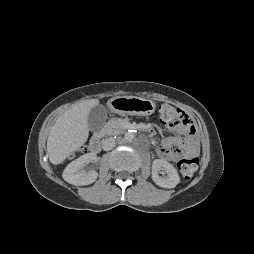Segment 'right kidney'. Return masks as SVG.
<instances>
[{"instance_id": "1", "label": "right kidney", "mask_w": 254, "mask_h": 254, "mask_svg": "<svg viewBox=\"0 0 254 254\" xmlns=\"http://www.w3.org/2000/svg\"><path fill=\"white\" fill-rule=\"evenodd\" d=\"M96 159L94 153H87L72 161L63 171V179L73 185H89L93 183L98 173L94 170L85 172L83 167Z\"/></svg>"}]
</instances>
